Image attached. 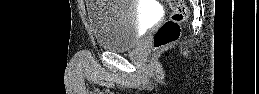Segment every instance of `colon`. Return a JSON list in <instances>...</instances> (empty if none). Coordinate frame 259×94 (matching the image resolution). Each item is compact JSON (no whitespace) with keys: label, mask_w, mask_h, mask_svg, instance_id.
<instances>
[{"label":"colon","mask_w":259,"mask_h":94,"mask_svg":"<svg viewBox=\"0 0 259 94\" xmlns=\"http://www.w3.org/2000/svg\"><path fill=\"white\" fill-rule=\"evenodd\" d=\"M171 9L170 17L155 32L154 49H163L176 42L181 35V25L188 17V10L183 0H167Z\"/></svg>","instance_id":"obj_1"}]
</instances>
